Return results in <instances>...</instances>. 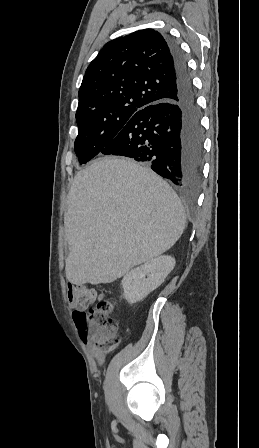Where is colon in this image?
Segmentation results:
<instances>
[{
    "label": "colon",
    "instance_id": "obj_1",
    "mask_svg": "<svg viewBox=\"0 0 259 448\" xmlns=\"http://www.w3.org/2000/svg\"><path fill=\"white\" fill-rule=\"evenodd\" d=\"M75 307L73 319L81 339L103 352L113 351L119 344L118 325L113 317V305L90 285L72 289Z\"/></svg>",
    "mask_w": 259,
    "mask_h": 448
}]
</instances>
